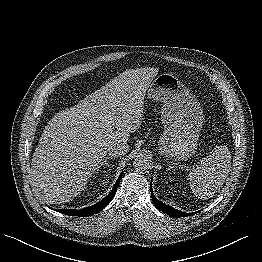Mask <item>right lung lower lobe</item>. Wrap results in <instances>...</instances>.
<instances>
[{
	"label": "right lung lower lobe",
	"mask_w": 262,
	"mask_h": 262,
	"mask_svg": "<svg viewBox=\"0 0 262 262\" xmlns=\"http://www.w3.org/2000/svg\"><path fill=\"white\" fill-rule=\"evenodd\" d=\"M121 177H122V173L120 174L119 178L117 179L113 189L108 194V196H106L103 200H101L97 204L92 205V206L87 207V208H84V209H81V210L70 209V210H55V211L66 214V215H70V216H80V217H86V216H89V215H92V214H95V213L101 211L114 198L116 191H117V188H118V185L120 183Z\"/></svg>",
	"instance_id": "obj_1"
}]
</instances>
